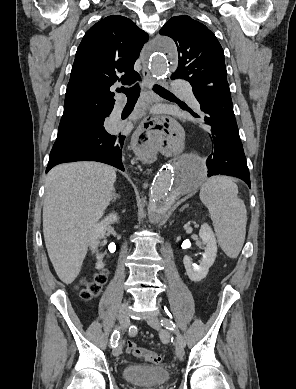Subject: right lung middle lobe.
Masks as SVG:
<instances>
[{
    "instance_id": "right-lung-middle-lobe-1",
    "label": "right lung middle lobe",
    "mask_w": 296,
    "mask_h": 389,
    "mask_svg": "<svg viewBox=\"0 0 296 389\" xmlns=\"http://www.w3.org/2000/svg\"><path fill=\"white\" fill-rule=\"evenodd\" d=\"M108 116L109 114H81L61 118L56 141L91 133L103 127L105 118Z\"/></svg>"
}]
</instances>
